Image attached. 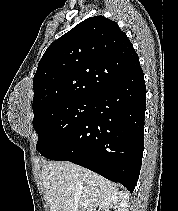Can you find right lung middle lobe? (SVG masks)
Returning a JSON list of instances; mask_svg holds the SVG:
<instances>
[{"label":"right lung middle lobe","mask_w":178,"mask_h":211,"mask_svg":"<svg viewBox=\"0 0 178 211\" xmlns=\"http://www.w3.org/2000/svg\"><path fill=\"white\" fill-rule=\"evenodd\" d=\"M94 99L76 98L52 103L34 113L33 128L39 138L36 149L42 156L57 147L90 115Z\"/></svg>","instance_id":"1"}]
</instances>
